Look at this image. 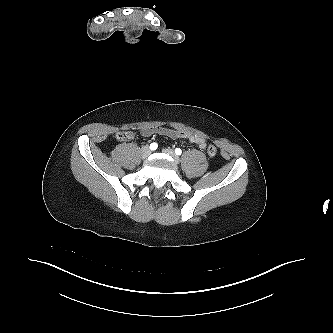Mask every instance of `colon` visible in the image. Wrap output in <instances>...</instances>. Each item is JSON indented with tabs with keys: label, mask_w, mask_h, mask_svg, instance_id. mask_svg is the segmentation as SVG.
I'll list each match as a JSON object with an SVG mask.
<instances>
[{
	"label": "colon",
	"mask_w": 333,
	"mask_h": 333,
	"mask_svg": "<svg viewBox=\"0 0 333 333\" xmlns=\"http://www.w3.org/2000/svg\"><path fill=\"white\" fill-rule=\"evenodd\" d=\"M118 140L127 141L134 138V134L130 131H122L116 135ZM217 153V149L214 145L210 144L207 146V154L209 157H214Z\"/></svg>",
	"instance_id": "1"
}]
</instances>
